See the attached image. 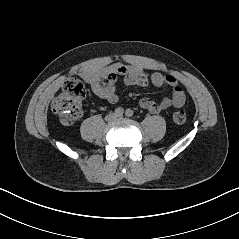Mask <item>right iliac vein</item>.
<instances>
[{"instance_id": "1", "label": "right iliac vein", "mask_w": 239, "mask_h": 239, "mask_svg": "<svg viewBox=\"0 0 239 239\" xmlns=\"http://www.w3.org/2000/svg\"><path fill=\"white\" fill-rule=\"evenodd\" d=\"M115 117H116L115 114H109V115L107 116V120L111 121V120H113Z\"/></svg>"}]
</instances>
